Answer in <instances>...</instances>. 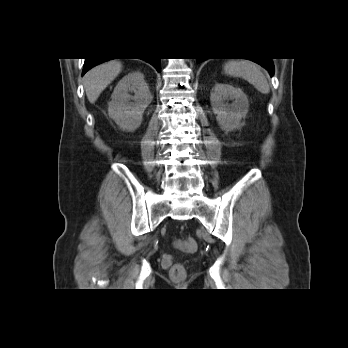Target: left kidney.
<instances>
[{"label":"left kidney","instance_id":"obj_1","mask_svg":"<svg viewBox=\"0 0 348 348\" xmlns=\"http://www.w3.org/2000/svg\"><path fill=\"white\" fill-rule=\"evenodd\" d=\"M210 102L222 130L229 132L242 126L241 120L248 113L249 101L240 88L217 83L210 94Z\"/></svg>","mask_w":348,"mask_h":348}]
</instances>
